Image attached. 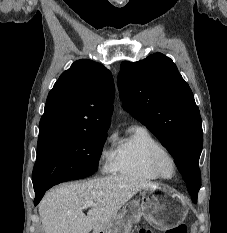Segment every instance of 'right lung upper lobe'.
Instances as JSON below:
<instances>
[{"mask_svg": "<svg viewBox=\"0 0 227 233\" xmlns=\"http://www.w3.org/2000/svg\"><path fill=\"white\" fill-rule=\"evenodd\" d=\"M114 93L112 74L102 64L87 59L74 62L48 94L39 133L108 130Z\"/></svg>", "mask_w": 227, "mask_h": 233, "instance_id": "obj_1", "label": "right lung upper lobe"}]
</instances>
